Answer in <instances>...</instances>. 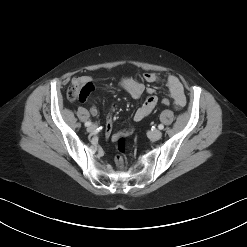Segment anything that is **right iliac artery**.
Here are the masks:
<instances>
[{"instance_id": "82829eb1", "label": "right iliac artery", "mask_w": 247, "mask_h": 247, "mask_svg": "<svg viewBox=\"0 0 247 247\" xmlns=\"http://www.w3.org/2000/svg\"><path fill=\"white\" fill-rule=\"evenodd\" d=\"M91 124H92V123L88 121V122L85 123V126H86V127H89Z\"/></svg>"}]
</instances>
